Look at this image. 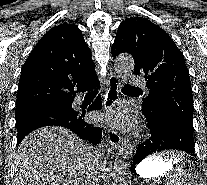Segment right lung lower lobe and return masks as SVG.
Instances as JSON below:
<instances>
[{"mask_svg": "<svg viewBox=\"0 0 207 185\" xmlns=\"http://www.w3.org/2000/svg\"><path fill=\"white\" fill-rule=\"evenodd\" d=\"M99 88L100 84L97 78L93 82L77 88L72 97L68 100L67 104L72 106V102L74 101L77 92H85L89 89H95L96 95ZM101 109L102 102L100 96H98L87 111ZM44 126H61L68 128L76 133L81 139L89 140L93 144H97L101 141L102 129L93 126V124L87 121L85 117V110L81 112L73 109L68 112H56L48 115H39L17 123V144L19 145L23 138L30 132Z\"/></svg>", "mask_w": 207, "mask_h": 185, "instance_id": "1", "label": "right lung lower lobe"}]
</instances>
